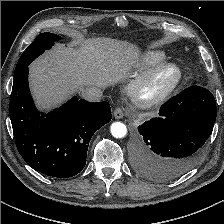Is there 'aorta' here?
Here are the masks:
<instances>
[{
  "mask_svg": "<svg viewBox=\"0 0 224 224\" xmlns=\"http://www.w3.org/2000/svg\"><path fill=\"white\" fill-rule=\"evenodd\" d=\"M110 130L115 138H123L127 134L126 125L121 122L112 123Z\"/></svg>",
  "mask_w": 224,
  "mask_h": 224,
  "instance_id": "1",
  "label": "aorta"
}]
</instances>
